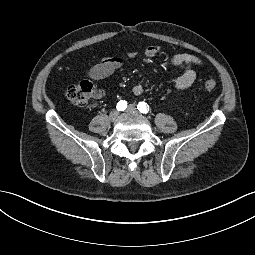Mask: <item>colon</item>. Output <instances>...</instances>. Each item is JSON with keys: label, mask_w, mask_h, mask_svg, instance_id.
<instances>
[{"label": "colon", "mask_w": 255, "mask_h": 255, "mask_svg": "<svg viewBox=\"0 0 255 255\" xmlns=\"http://www.w3.org/2000/svg\"><path fill=\"white\" fill-rule=\"evenodd\" d=\"M216 81L214 79H207L204 82V88L207 91H212L216 88ZM94 87L91 83L83 81L79 84L69 86L65 95L67 99L74 105L79 107L87 106L94 95Z\"/></svg>", "instance_id": "1"}]
</instances>
